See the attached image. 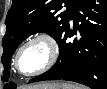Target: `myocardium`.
<instances>
[{
    "label": "myocardium",
    "instance_id": "f54148a6",
    "mask_svg": "<svg viewBox=\"0 0 107 89\" xmlns=\"http://www.w3.org/2000/svg\"><path fill=\"white\" fill-rule=\"evenodd\" d=\"M37 41L44 42L46 44V46L48 47V50H49L48 60L45 63V65L42 66L41 68H39L33 72L23 73L20 70L19 65H18L19 56L26 46H28L29 44H31L33 42H37ZM58 56H59V47H58V43L55 40V38L52 35H50L49 33L39 32V33L33 34L32 36L28 37L18 47V49L15 53L14 59H13V66L20 75L25 76V77H33V76L40 75V74L48 71L50 68H52L53 65L56 63Z\"/></svg>",
    "mask_w": 107,
    "mask_h": 89
}]
</instances>
